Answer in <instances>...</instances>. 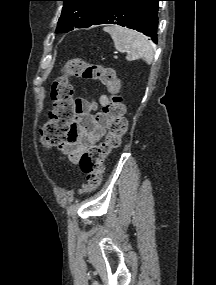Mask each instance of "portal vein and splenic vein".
I'll list each match as a JSON object with an SVG mask.
<instances>
[{"mask_svg":"<svg viewBox=\"0 0 216 285\" xmlns=\"http://www.w3.org/2000/svg\"><path fill=\"white\" fill-rule=\"evenodd\" d=\"M114 58H115V59H117V58H118V56L116 55V56H114Z\"/></svg>","mask_w":216,"mask_h":285,"instance_id":"portal-vein-and-splenic-vein-1","label":"portal vein and splenic vein"}]
</instances>
